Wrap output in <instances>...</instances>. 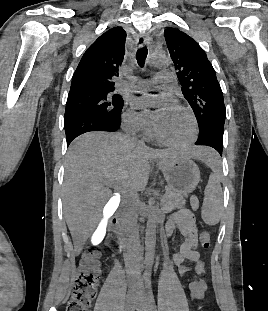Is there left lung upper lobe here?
<instances>
[{"instance_id": "5c2ea615", "label": "left lung upper lobe", "mask_w": 268, "mask_h": 311, "mask_svg": "<svg viewBox=\"0 0 268 311\" xmlns=\"http://www.w3.org/2000/svg\"><path fill=\"white\" fill-rule=\"evenodd\" d=\"M181 90L196 116L199 131L224 129L226 109L215 70L206 53L190 36L176 28L164 31Z\"/></svg>"}]
</instances>
